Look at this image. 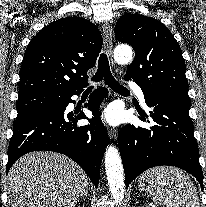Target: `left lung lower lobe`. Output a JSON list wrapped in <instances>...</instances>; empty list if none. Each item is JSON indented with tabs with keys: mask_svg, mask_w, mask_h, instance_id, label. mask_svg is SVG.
Returning <instances> with one entry per match:
<instances>
[{
	"mask_svg": "<svg viewBox=\"0 0 206 207\" xmlns=\"http://www.w3.org/2000/svg\"><path fill=\"white\" fill-rule=\"evenodd\" d=\"M148 114L139 118L155 124L147 128L124 126L118 137L125 172L126 188L143 171L160 165H171L191 173L203 189L199 150L189 117L190 102L160 95L144 94Z\"/></svg>",
	"mask_w": 206,
	"mask_h": 207,
	"instance_id": "left-lung-lower-lobe-1",
	"label": "left lung lower lobe"
}]
</instances>
